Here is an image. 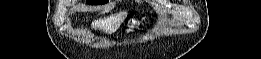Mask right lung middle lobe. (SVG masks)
Segmentation results:
<instances>
[{
  "label": "right lung middle lobe",
  "mask_w": 261,
  "mask_h": 59,
  "mask_svg": "<svg viewBox=\"0 0 261 59\" xmlns=\"http://www.w3.org/2000/svg\"><path fill=\"white\" fill-rule=\"evenodd\" d=\"M107 1H87V3L88 4H96V5H98V4H104V3H106Z\"/></svg>",
  "instance_id": "1"
}]
</instances>
